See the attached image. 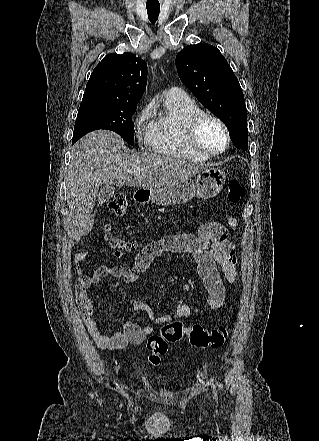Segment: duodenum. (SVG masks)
I'll return each mask as SVG.
<instances>
[{
	"mask_svg": "<svg viewBox=\"0 0 319 441\" xmlns=\"http://www.w3.org/2000/svg\"><path fill=\"white\" fill-rule=\"evenodd\" d=\"M135 199L140 202H145L149 199V192L145 190L138 191L135 195Z\"/></svg>",
	"mask_w": 319,
	"mask_h": 441,
	"instance_id": "410a0bca",
	"label": "duodenum"
}]
</instances>
